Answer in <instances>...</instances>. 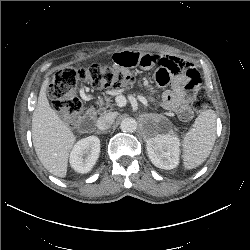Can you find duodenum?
Wrapping results in <instances>:
<instances>
[{"label": "duodenum", "instance_id": "duodenum-1", "mask_svg": "<svg viewBox=\"0 0 250 250\" xmlns=\"http://www.w3.org/2000/svg\"><path fill=\"white\" fill-rule=\"evenodd\" d=\"M95 120V111L88 110L81 120V125L85 130H90L93 127Z\"/></svg>", "mask_w": 250, "mask_h": 250}]
</instances>
